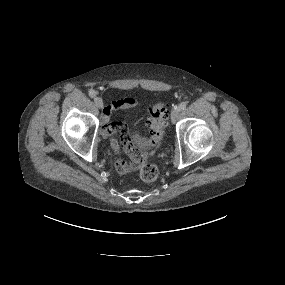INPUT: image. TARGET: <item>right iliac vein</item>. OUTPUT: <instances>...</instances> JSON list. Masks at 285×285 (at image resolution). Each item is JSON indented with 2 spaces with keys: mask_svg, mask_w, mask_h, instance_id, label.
Instances as JSON below:
<instances>
[{
  "mask_svg": "<svg viewBox=\"0 0 285 285\" xmlns=\"http://www.w3.org/2000/svg\"><path fill=\"white\" fill-rule=\"evenodd\" d=\"M94 103H95V105L98 107V108H102L103 107V100H102V98H100V97H96L95 99H94Z\"/></svg>",
  "mask_w": 285,
  "mask_h": 285,
  "instance_id": "obj_1",
  "label": "right iliac vein"
}]
</instances>
